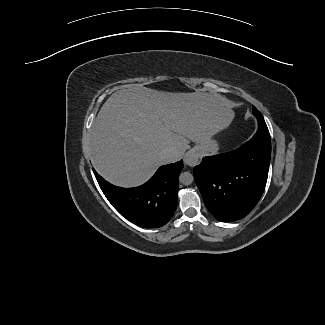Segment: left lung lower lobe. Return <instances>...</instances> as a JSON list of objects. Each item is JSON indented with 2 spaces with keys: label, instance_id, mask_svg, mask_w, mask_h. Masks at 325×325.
<instances>
[{
  "label": "left lung lower lobe",
  "instance_id": "0a47b994",
  "mask_svg": "<svg viewBox=\"0 0 325 325\" xmlns=\"http://www.w3.org/2000/svg\"><path fill=\"white\" fill-rule=\"evenodd\" d=\"M258 130L240 148L204 157L193 174L206 207L222 222L248 215L259 201L267 182L271 140L262 115Z\"/></svg>",
  "mask_w": 325,
  "mask_h": 325
}]
</instances>
